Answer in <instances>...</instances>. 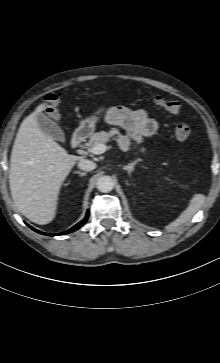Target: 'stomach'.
I'll return each instance as SVG.
<instances>
[{"instance_id": "1", "label": "stomach", "mask_w": 220, "mask_h": 363, "mask_svg": "<svg viewBox=\"0 0 220 363\" xmlns=\"http://www.w3.org/2000/svg\"><path fill=\"white\" fill-rule=\"evenodd\" d=\"M103 110L104 108L97 111L95 115H92L86 119L81 120L80 127L87 129L89 132H93L95 130L96 122L98 119L97 115L100 114V112H102Z\"/></svg>"}]
</instances>
